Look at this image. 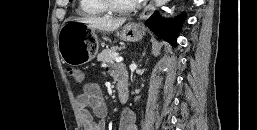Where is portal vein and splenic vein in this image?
<instances>
[{
    "label": "portal vein and splenic vein",
    "instance_id": "portal-vein-and-splenic-vein-1",
    "mask_svg": "<svg viewBox=\"0 0 257 130\" xmlns=\"http://www.w3.org/2000/svg\"><path fill=\"white\" fill-rule=\"evenodd\" d=\"M123 61V57L121 56H115V62H122Z\"/></svg>",
    "mask_w": 257,
    "mask_h": 130
}]
</instances>
